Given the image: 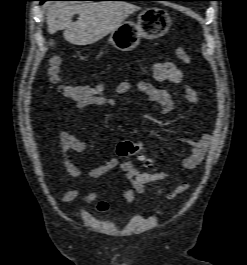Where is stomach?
Here are the masks:
<instances>
[{
    "mask_svg": "<svg viewBox=\"0 0 247 265\" xmlns=\"http://www.w3.org/2000/svg\"><path fill=\"white\" fill-rule=\"evenodd\" d=\"M172 20L168 12L159 7L144 9L137 18V23L123 22L110 33L109 43L119 51L134 50L141 38L153 40L168 32Z\"/></svg>",
    "mask_w": 247,
    "mask_h": 265,
    "instance_id": "0dacf381",
    "label": "stomach"
}]
</instances>
